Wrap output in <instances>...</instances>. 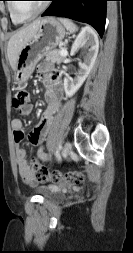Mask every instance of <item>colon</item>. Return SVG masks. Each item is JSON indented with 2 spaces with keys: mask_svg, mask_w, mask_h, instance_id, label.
<instances>
[{
  "mask_svg": "<svg viewBox=\"0 0 133 253\" xmlns=\"http://www.w3.org/2000/svg\"><path fill=\"white\" fill-rule=\"evenodd\" d=\"M29 102V93L25 89L17 90L12 98V106L16 110H21ZM32 169L36 179L39 182H53V183H68V184H80L84 180V175L78 171H71L62 173L54 170L49 171L44 165L39 162L32 164Z\"/></svg>",
  "mask_w": 133,
  "mask_h": 253,
  "instance_id": "5ec220e1",
  "label": "colon"
}]
</instances>
